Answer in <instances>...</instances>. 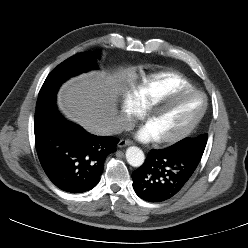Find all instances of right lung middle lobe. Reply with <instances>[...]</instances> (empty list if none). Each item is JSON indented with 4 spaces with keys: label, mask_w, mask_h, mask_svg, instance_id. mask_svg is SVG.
<instances>
[{
    "label": "right lung middle lobe",
    "mask_w": 248,
    "mask_h": 248,
    "mask_svg": "<svg viewBox=\"0 0 248 248\" xmlns=\"http://www.w3.org/2000/svg\"><path fill=\"white\" fill-rule=\"evenodd\" d=\"M100 51L95 53L99 57ZM96 57L92 52H82L76 54L61 64H59L46 78L42 85L39 96L56 94L60 85L68 78L75 76L79 73L97 68L95 62Z\"/></svg>",
    "instance_id": "1"
}]
</instances>
